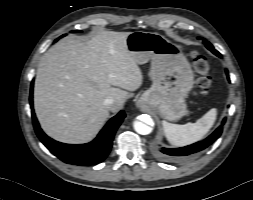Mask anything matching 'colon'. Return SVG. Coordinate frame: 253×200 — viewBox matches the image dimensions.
Listing matches in <instances>:
<instances>
[{"instance_id": "colon-1", "label": "colon", "mask_w": 253, "mask_h": 200, "mask_svg": "<svg viewBox=\"0 0 253 200\" xmlns=\"http://www.w3.org/2000/svg\"><path fill=\"white\" fill-rule=\"evenodd\" d=\"M191 56L193 59L194 68L199 74L197 83L200 93L204 96L208 95L212 86V78L209 73V63L207 59L197 51H193Z\"/></svg>"}]
</instances>
